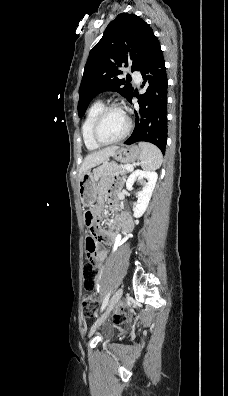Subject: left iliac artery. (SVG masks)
<instances>
[{
	"instance_id": "44dca946",
	"label": "left iliac artery",
	"mask_w": 228,
	"mask_h": 396,
	"mask_svg": "<svg viewBox=\"0 0 228 396\" xmlns=\"http://www.w3.org/2000/svg\"><path fill=\"white\" fill-rule=\"evenodd\" d=\"M110 293H111V292H109V293L106 295V297H105V299H104V301H103V303H102V306H101V311H103V310L105 309V307L107 306L108 301H109V298H110Z\"/></svg>"
}]
</instances>
